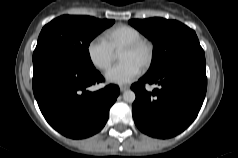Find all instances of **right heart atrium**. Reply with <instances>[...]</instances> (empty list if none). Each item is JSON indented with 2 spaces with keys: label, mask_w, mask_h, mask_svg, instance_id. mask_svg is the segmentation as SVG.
Listing matches in <instances>:
<instances>
[{
  "label": "right heart atrium",
  "mask_w": 238,
  "mask_h": 158,
  "mask_svg": "<svg viewBox=\"0 0 238 158\" xmlns=\"http://www.w3.org/2000/svg\"><path fill=\"white\" fill-rule=\"evenodd\" d=\"M87 53L91 63L100 70L107 69L115 57V51L101 36H96L90 40L87 45Z\"/></svg>",
  "instance_id": "d8ad5b80"
}]
</instances>
